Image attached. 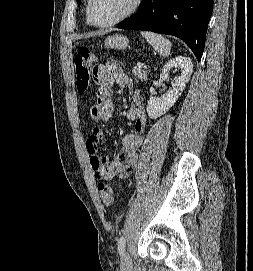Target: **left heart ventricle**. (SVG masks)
I'll list each match as a JSON object with an SVG mask.
<instances>
[{
	"label": "left heart ventricle",
	"mask_w": 253,
	"mask_h": 271,
	"mask_svg": "<svg viewBox=\"0 0 253 271\" xmlns=\"http://www.w3.org/2000/svg\"><path fill=\"white\" fill-rule=\"evenodd\" d=\"M133 0H93L92 13L98 23L104 24L123 15Z\"/></svg>",
	"instance_id": "obj_1"
}]
</instances>
